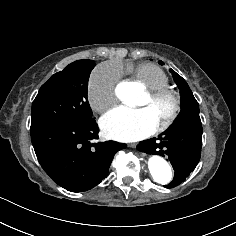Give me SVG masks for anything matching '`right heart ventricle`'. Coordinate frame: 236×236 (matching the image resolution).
Returning a JSON list of instances; mask_svg holds the SVG:
<instances>
[{"label": "right heart ventricle", "mask_w": 236, "mask_h": 236, "mask_svg": "<svg viewBox=\"0 0 236 236\" xmlns=\"http://www.w3.org/2000/svg\"><path fill=\"white\" fill-rule=\"evenodd\" d=\"M126 71L131 74L134 82L141 84L147 91H155L163 87H168L170 84L166 72L152 64L127 66Z\"/></svg>", "instance_id": "right-heart-ventricle-1"}]
</instances>
